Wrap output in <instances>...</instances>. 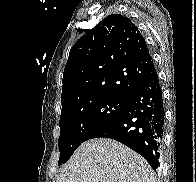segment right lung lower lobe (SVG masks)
Wrapping results in <instances>:
<instances>
[{
  "instance_id": "right-lung-lower-lobe-1",
  "label": "right lung lower lobe",
  "mask_w": 196,
  "mask_h": 182,
  "mask_svg": "<svg viewBox=\"0 0 196 182\" xmlns=\"http://www.w3.org/2000/svg\"><path fill=\"white\" fill-rule=\"evenodd\" d=\"M164 106L156 70L131 93L124 110L90 139H115L142 155L151 167H159L164 132Z\"/></svg>"
}]
</instances>
